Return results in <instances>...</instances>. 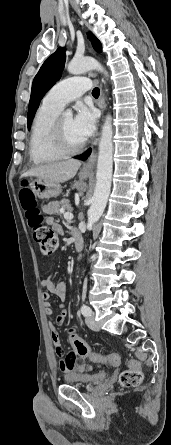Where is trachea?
<instances>
[{
	"label": "trachea",
	"instance_id": "3493384b",
	"mask_svg": "<svg viewBox=\"0 0 171 445\" xmlns=\"http://www.w3.org/2000/svg\"><path fill=\"white\" fill-rule=\"evenodd\" d=\"M92 95L94 96V97H99V95H100V89L99 88H94L93 89V91H92Z\"/></svg>",
	"mask_w": 171,
	"mask_h": 445
}]
</instances>
